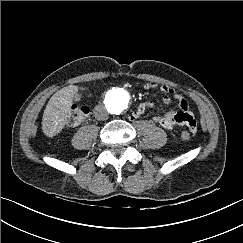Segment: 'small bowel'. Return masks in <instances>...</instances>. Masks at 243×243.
Listing matches in <instances>:
<instances>
[{
    "label": "small bowel",
    "mask_w": 243,
    "mask_h": 243,
    "mask_svg": "<svg viewBox=\"0 0 243 243\" xmlns=\"http://www.w3.org/2000/svg\"><path fill=\"white\" fill-rule=\"evenodd\" d=\"M163 94V102L168 104L171 102L172 98L177 100L179 111H170L164 115H158L153 118L154 122L165 129H172L175 126L183 125L187 126L191 133H195L197 130V121L193 113L189 109L188 101L180 95L174 88L161 85L158 86L156 83L149 82L144 85L146 90H151L158 88ZM155 104L151 101H146L141 103L137 109L133 112V117L137 118L143 114L146 110L151 109Z\"/></svg>",
    "instance_id": "small-bowel-1"
}]
</instances>
